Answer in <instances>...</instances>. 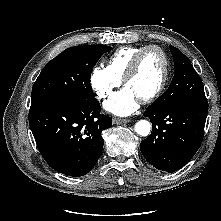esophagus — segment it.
Instances as JSON below:
<instances>
[{"mask_svg":"<svg viewBox=\"0 0 221 221\" xmlns=\"http://www.w3.org/2000/svg\"><path fill=\"white\" fill-rule=\"evenodd\" d=\"M130 122V119H124V118H114L113 123L116 125H121Z\"/></svg>","mask_w":221,"mask_h":221,"instance_id":"34e87169","label":"esophagus"}]
</instances>
